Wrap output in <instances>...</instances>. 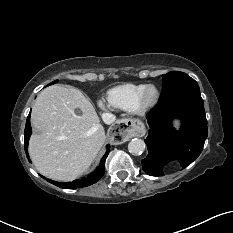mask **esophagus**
I'll use <instances>...</instances> for the list:
<instances>
[{"mask_svg": "<svg viewBox=\"0 0 233 233\" xmlns=\"http://www.w3.org/2000/svg\"><path fill=\"white\" fill-rule=\"evenodd\" d=\"M144 125L137 119L125 118L118 120L108 130L107 137L114 145L128 140L131 136H143Z\"/></svg>", "mask_w": 233, "mask_h": 233, "instance_id": "1", "label": "esophagus"}]
</instances>
